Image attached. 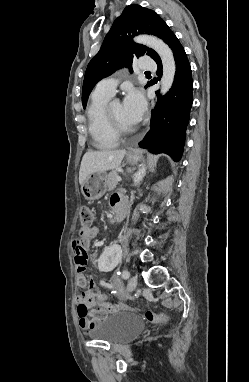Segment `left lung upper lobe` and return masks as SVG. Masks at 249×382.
Returning a JSON list of instances; mask_svg holds the SVG:
<instances>
[{
	"label": "left lung upper lobe",
	"mask_w": 249,
	"mask_h": 382,
	"mask_svg": "<svg viewBox=\"0 0 249 382\" xmlns=\"http://www.w3.org/2000/svg\"><path fill=\"white\" fill-rule=\"evenodd\" d=\"M143 33L154 34L163 39L169 46L176 37L153 10L137 4L127 6L114 21L100 51L88 64L82 90L84 108L90 92L101 79L122 67H128L132 72L133 61L145 54L155 61L160 59L158 54L151 48L131 41L135 35ZM150 85L151 83L148 82L145 88Z\"/></svg>",
	"instance_id": "obj_1"
}]
</instances>
